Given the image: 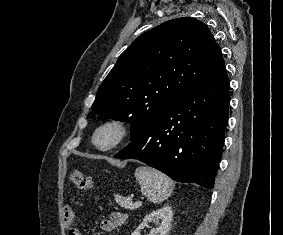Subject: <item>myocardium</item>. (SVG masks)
<instances>
[{"label":"myocardium","instance_id":"f54148a6","mask_svg":"<svg viewBox=\"0 0 283 235\" xmlns=\"http://www.w3.org/2000/svg\"><path fill=\"white\" fill-rule=\"evenodd\" d=\"M110 137L104 139L105 134ZM130 135L129 125L121 118L113 117L102 121L92 134L93 145L101 151H110L123 144Z\"/></svg>","mask_w":283,"mask_h":235}]
</instances>
